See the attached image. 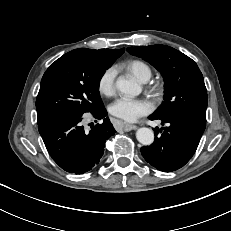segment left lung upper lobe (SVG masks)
I'll use <instances>...</instances> for the list:
<instances>
[{
    "label": "left lung upper lobe",
    "instance_id": "obj_1",
    "mask_svg": "<svg viewBox=\"0 0 231 231\" xmlns=\"http://www.w3.org/2000/svg\"><path fill=\"white\" fill-rule=\"evenodd\" d=\"M127 51L149 62L164 78V101L152 115H184L206 122L207 91L203 75L191 58L166 45L129 47Z\"/></svg>",
    "mask_w": 231,
    "mask_h": 231
}]
</instances>
